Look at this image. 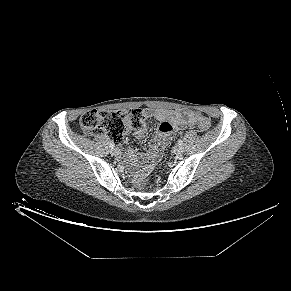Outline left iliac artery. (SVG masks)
I'll use <instances>...</instances> for the list:
<instances>
[{
  "label": "left iliac artery",
  "instance_id": "left-iliac-artery-1",
  "mask_svg": "<svg viewBox=\"0 0 291 291\" xmlns=\"http://www.w3.org/2000/svg\"><path fill=\"white\" fill-rule=\"evenodd\" d=\"M178 144H179V145H182V144H183V141H182V140H179V141H178Z\"/></svg>",
  "mask_w": 291,
  "mask_h": 291
}]
</instances>
